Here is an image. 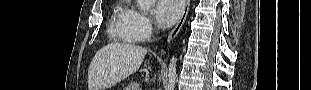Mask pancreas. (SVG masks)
Wrapping results in <instances>:
<instances>
[{"instance_id":"obj_1","label":"pancreas","mask_w":311,"mask_h":90,"mask_svg":"<svg viewBox=\"0 0 311 90\" xmlns=\"http://www.w3.org/2000/svg\"><path fill=\"white\" fill-rule=\"evenodd\" d=\"M125 90H140V85L136 82H132Z\"/></svg>"}]
</instances>
